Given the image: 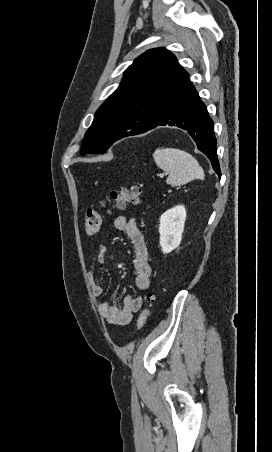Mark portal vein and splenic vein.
Returning a JSON list of instances; mask_svg holds the SVG:
<instances>
[{"mask_svg":"<svg viewBox=\"0 0 272 452\" xmlns=\"http://www.w3.org/2000/svg\"><path fill=\"white\" fill-rule=\"evenodd\" d=\"M164 175L163 174H160V177H163Z\"/></svg>","mask_w":272,"mask_h":452,"instance_id":"1","label":"portal vein and splenic vein"}]
</instances>
